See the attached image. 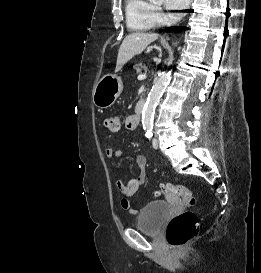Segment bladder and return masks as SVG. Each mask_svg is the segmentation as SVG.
Here are the masks:
<instances>
[{
	"instance_id": "1",
	"label": "bladder",
	"mask_w": 261,
	"mask_h": 273,
	"mask_svg": "<svg viewBox=\"0 0 261 273\" xmlns=\"http://www.w3.org/2000/svg\"><path fill=\"white\" fill-rule=\"evenodd\" d=\"M170 204L165 201L148 203L139 213L136 225L139 230L147 234H157L169 212Z\"/></svg>"
}]
</instances>
